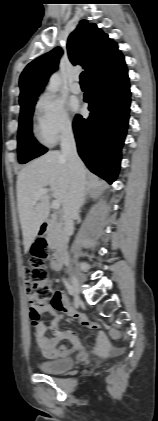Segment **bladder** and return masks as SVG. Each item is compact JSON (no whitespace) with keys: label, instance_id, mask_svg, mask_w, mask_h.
<instances>
[{"label":"bladder","instance_id":"bladder-1","mask_svg":"<svg viewBox=\"0 0 158 421\" xmlns=\"http://www.w3.org/2000/svg\"><path fill=\"white\" fill-rule=\"evenodd\" d=\"M75 361L71 357H60L50 360H42L38 363V368L48 374H61L72 369Z\"/></svg>","mask_w":158,"mask_h":421}]
</instances>
